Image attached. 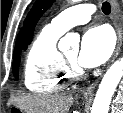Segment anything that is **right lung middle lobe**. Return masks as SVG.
I'll list each match as a JSON object with an SVG mask.
<instances>
[{
  "mask_svg": "<svg viewBox=\"0 0 123 113\" xmlns=\"http://www.w3.org/2000/svg\"><path fill=\"white\" fill-rule=\"evenodd\" d=\"M20 53L21 52H16L13 55V74L16 78H18V69H19V65H20Z\"/></svg>",
  "mask_w": 123,
  "mask_h": 113,
  "instance_id": "obj_1",
  "label": "right lung middle lobe"
}]
</instances>
